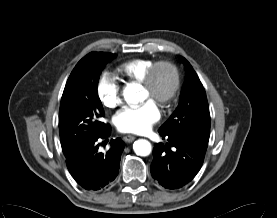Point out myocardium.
I'll use <instances>...</instances> for the list:
<instances>
[{
  "label": "myocardium",
  "mask_w": 277,
  "mask_h": 218,
  "mask_svg": "<svg viewBox=\"0 0 277 218\" xmlns=\"http://www.w3.org/2000/svg\"><path fill=\"white\" fill-rule=\"evenodd\" d=\"M148 91L160 103L171 100L178 92L181 84L180 70L170 59H161L153 64L149 76L144 80Z\"/></svg>",
  "instance_id": "myocardium-1"
}]
</instances>
